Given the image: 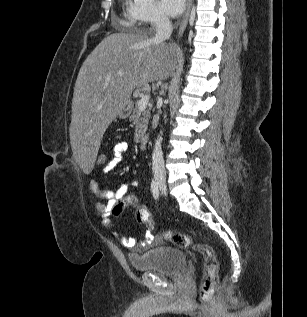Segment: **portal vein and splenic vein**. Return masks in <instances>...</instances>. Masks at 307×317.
Instances as JSON below:
<instances>
[{"mask_svg":"<svg viewBox=\"0 0 307 317\" xmlns=\"http://www.w3.org/2000/svg\"><path fill=\"white\" fill-rule=\"evenodd\" d=\"M122 75V74H120ZM149 102V96L148 95H141L140 100L138 101V108L140 111L144 110Z\"/></svg>","mask_w":307,"mask_h":317,"instance_id":"1","label":"portal vein and splenic vein"}]
</instances>
